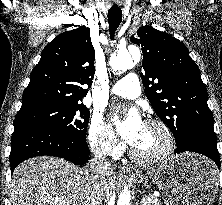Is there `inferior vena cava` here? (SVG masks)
Returning <instances> with one entry per match:
<instances>
[{
  "mask_svg": "<svg viewBox=\"0 0 222 205\" xmlns=\"http://www.w3.org/2000/svg\"><path fill=\"white\" fill-rule=\"evenodd\" d=\"M90 170L97 175H106L113 171L110 162L105 158H94L90 164Z\"/></svg>",
  "mask_w": 222,
  "mask_h": 205,
  "instance_id": "602c4592",
  "label": "inferior vena cava"
}]
</instances>
